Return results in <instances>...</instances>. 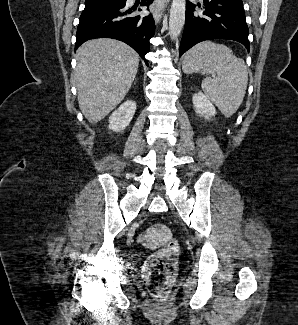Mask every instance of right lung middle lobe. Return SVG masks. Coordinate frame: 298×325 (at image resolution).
<instances>
[{
	"instance_id": "1",
	"label": "right lung middle lobe",
	"mask_w": 298,
	"mask_h": 325,
	"mask_svg": "<svg viewBox=\"0 0 298 325\" xmlns=\"http://www.w3.org/2000/svg\"><path fill=\"white\" fill-rule=\"evenodd\" d=\"M117 1H119V0H86L85 6L108 4V3H114Z\"/></svg>"
}]
</instances>
